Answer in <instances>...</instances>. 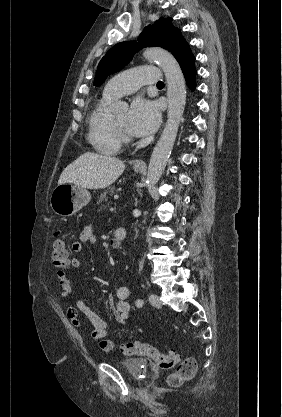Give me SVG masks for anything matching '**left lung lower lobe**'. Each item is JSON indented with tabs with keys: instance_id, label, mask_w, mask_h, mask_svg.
<instances>
[{
	"instance_id": "obj_1",
	"label": "left lung lower lobe",
	"mask_w": 282,
	"mask_h": 417,
	"mask_svg": "<svg viewBox=\"0 0 282 417\" xmlns=\"http://www.w3.org/2000/svg\"><path fill=\"white\" fill-rule=\"evenodd\" d=\"M174 57L180 64V67L182 69V72L185 76L189 88L194 90L196 87L195 76L197 74V71L194 66L195 57L193 56L189 48V45L186 44L182 47H179L176 50Z\"/></svg>"
}]
</instances>
